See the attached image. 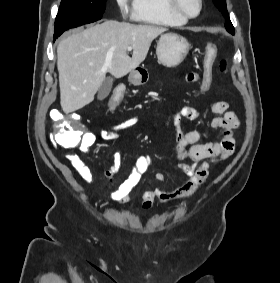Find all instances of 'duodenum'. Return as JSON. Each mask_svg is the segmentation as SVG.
<instances>
[{"label":"duodenum","instance_id":"410a0bca","mask_svg":"<svg viewBox=\"0 0 280 283\" xmlns=\"http://www.w3.org/2000/svg\"><path fill=\"white\" fill-rule=\"evenodd\" d=\"M135 80L139 83H141L143 81V79L140 75L135 76Z\"/></svg>","mask_w":280,"mask_h":283}]
</instances>
